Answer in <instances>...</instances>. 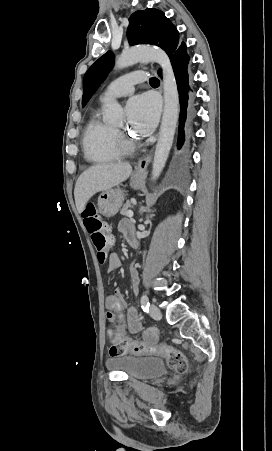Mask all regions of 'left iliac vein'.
Instances as JSON below:
<instances>
[{
  "mask_svg": "<svg viewBox=\"0 0 272 451\" xmlns=\"http://www.w3.org/2000/svg\"><path fill=\"white\" fill-rule=\"evenodd\" d=\"M149 314L153 319L160 320L161 319V311L156 305H151L149 308Z\"/></svg>",
  "mask_w": 272,
  "mask_h": 451,
  "instance_id": "obj_1",
  "label": "left iliac vein"
}]
</instances>
